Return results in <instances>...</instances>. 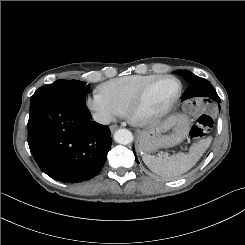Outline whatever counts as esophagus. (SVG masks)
I'll use <instances>...</instances> for the list:
<instances>
[{
    "label": "esophagus",
    "mask_w": 245,
    "mask_h": 245,
    "mask_svg": "<svg viewBox=\"0 0 245 245\" xmlns=\"http://www.w3.org/2000/svg\"><path fill=\"white\" fill-rule=\"evenodd\" d=\"M118 128H119L118 125H111V126H110L111 132H114V131L117 130Z\"/></svg>",
    "instance_id": "esophagus-1"
}]
</instances>
